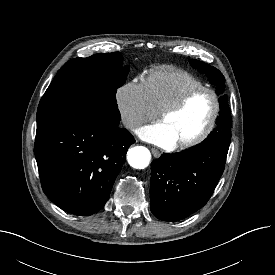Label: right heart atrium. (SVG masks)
Wrapping results in <instances>:
<instances>
[{"mask_svg":"<svg viewBox=\"0 0 275 275\" xmlns=\"http://www.w3.org/2000/svg\"><path fill=\"white\" fill-rule=\"evenodd\" d=\"M116 104L123 124L129 129L140 126L156 115L141 82L130 81L122 85L116 92Z\"/></svg>","mask_w":275,"mask_h":275,"instance_id":"right-heart-atrium-1","label":"right heart atrium"}]
</instances>
